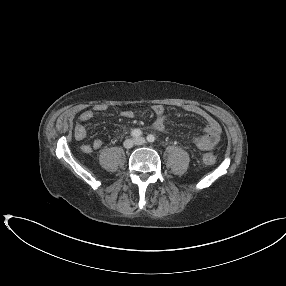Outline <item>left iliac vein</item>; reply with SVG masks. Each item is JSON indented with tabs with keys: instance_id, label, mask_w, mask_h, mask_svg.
Here are the masks:
<instances>
[{
	"instance_id": "left-iliac-vein-1",
	"label": "left iliac vein",
	"mask_w": 286,
	"mask_h": 286,
	"mask_svg": "<svg viewBox=\"0 0 286 286\" xmlns=\"http://www.w3.org/2000/svg\"><path fill=\"white\" fill-rule=\"evenodd\" d=\"M145 142H146V140L143 137H139V138L135 139V144H137V145H143Z\"/></svg>"
}]
</instances>
